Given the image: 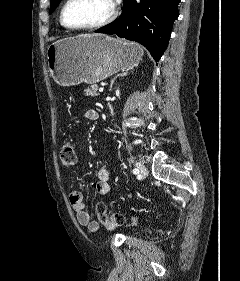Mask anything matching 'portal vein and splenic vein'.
Segmentation results:
<instances>
[{
  "mask_svg": "<svg viewBox=\"0 0 240 281\" xmlns=\"http://www.w3.org/2000/svg\"><path fill=\"white\" fill-rule=\"evenodd\" d=\"M104 88L103 87H100L99 88V92H103Z\"/></svg>",
  "mask_w": 240,
  "mask_h": 281,
  "instance_id": "18ae733b",
  "label": "portal vein and splenic vein"
}]
</instances>
